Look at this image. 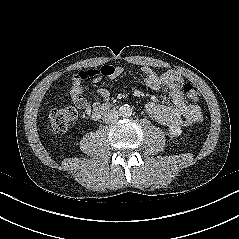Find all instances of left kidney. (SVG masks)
I'll list each match as a JSON object with an SVG mask.
<instances>
[{
    "label": "left kidney",
    "mask_w": 239,
    "mask_h": 239,
    "mask_svg": "<svg viewBox=\"0 0 239 239\" xmlns=\"http://www.w3.org/2000/svg\"><path fill=\"white\" fill-rule=\"evenodd\" d=\"M169 131L174 136H177V135L179 136L182 133V130L180 127H171Z\"/></svg>",
    "instance_id": "obj_1"
}]
</instances>
